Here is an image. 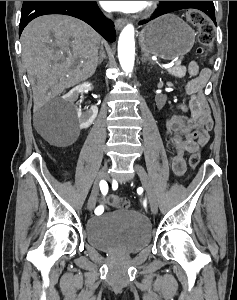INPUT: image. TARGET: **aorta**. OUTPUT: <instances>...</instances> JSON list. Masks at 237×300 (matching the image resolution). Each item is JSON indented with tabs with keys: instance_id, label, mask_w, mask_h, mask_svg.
Here are the masks:
<instances>
[{
	"instance_id": "obj_1",
	"label": "aorta",
	"mask_w": 237,
	"mask_h": 300,
	"mask_svg": "<svg viewBox=\"0 0 237 300\" xmlns=\"http://www.w3.org/2000/svg\"><path fill=\"white\" fill-rule=\"evenodd\" d=\"M135 31L133 25H126L118 41V59L125 73H132L135 61Z\"/></svg>"
}]
</instances>
